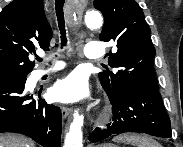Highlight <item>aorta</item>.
<instances>
[{"label": "aorta", "instance_id": "aorta-1", "mask_svg": "<svg viewBox=\"0 0 183 147\" xmlns=\"http://www.w3.org/2000/svg\"><path fill=\"white\" fill-rule=\"evenodd\" d=\"M83 22L88 28L97 29L102 26L103 18L99 12H87L83 17ZM83 121L84 117L80 115L78 111H75L73 114V121L65 136L64 147H83Z\"/></svg>", "mask_w": 183, "mask_h": 147}]
</instances>
